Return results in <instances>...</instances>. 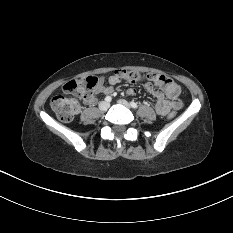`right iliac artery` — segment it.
Returning <instances> with one entry per match:
<instances>
[{
  "instance_id": "right-iliac-artery-1",
  "label": "right iliac artery",
  "mask_w": 233,
  "mask_h": 233,
  "mask_svg": "<svg viewBox=\"0 0 233 233\" xmlns=\"http://www.w3.org/2000/svg\"><path fill=\"white\" fill-rule=\"evenodd\" d=\"M112 100V98L110 97V96H107L106 98H105V101L106 102H110Z\"/></svg>"
}]
</instances>
